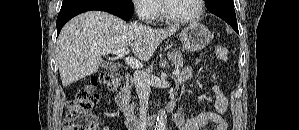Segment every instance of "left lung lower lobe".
Here are the masks:
<instances>
[{"instance_id": "1", "label": "left lung lower lobe", "mask_w": 299, "mask_h": 130, "mask_svg": "<svg viewBox=\"0 0 299 130\" xmlns=\"http://www.w3.org/2000/svg\"><path fill=\"white\" fill-rule=\"evenodd\" d=\"M206 6L211 13L229 23L239 34L233 0H209Z\"/></svg>"}]
</instances>
